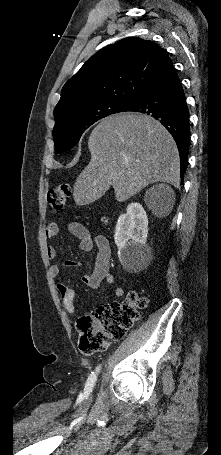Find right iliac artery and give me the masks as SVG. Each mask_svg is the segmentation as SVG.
Masks as SVG:
<instances>
[{"label":"right iliac artery","mask_w":221,"mask_h":455,"mask_svg":"<svg viewBox=\"0 0 221 455\" xmlns=\"http://www.w3.org/2000/svg\"><path fill=\"white\" fill-rule=\"evenodd\" d=\"M100 370H101V366H98L96 368V371L92 372V374H90V376L88 377L86 385H85V393H89L92 391L94 384L97 380V375L100 372Z\"/></svg>","instance_id":"right-iliac-artery-1"}]
</instances>
